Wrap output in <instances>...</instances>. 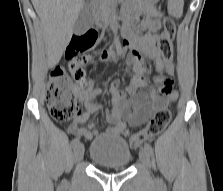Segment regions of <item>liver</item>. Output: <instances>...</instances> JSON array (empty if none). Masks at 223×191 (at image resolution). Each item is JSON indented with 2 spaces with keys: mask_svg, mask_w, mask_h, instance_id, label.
<instances>
[{
  "mask_svg": "<svg viewBox=\"0 0 223 191\" xmlns=\"http://www.w3.org/2000/svg\"><path fill=\"white\" fill-rule=\"evenodd\" d=\"M45 37L47 64L57 65L73 35L84 0H32Z\"/></svg>",
  "mask_w": 223,
  "mask_h": 191,
  "instance_id": "obj_1",
  "label": "liver"
}]
</instances>
